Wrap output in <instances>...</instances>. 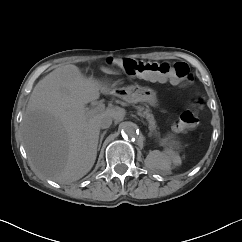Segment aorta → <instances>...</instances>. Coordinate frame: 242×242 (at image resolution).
Returning <instances> with one entry per match:
<instances>
[{"instance_id":"aorta-1","label":"aorta","mask_w":242,"mask_h":242,"mask_svg":"<svg viewBox=\"0 0 242 242\" xmlns=\"http://www.w3.org/2000/svg\"><path fill=\"white\" fill-rule=\"evenodd\" d=\"M122 133L128 138H136L139 134L138 127L133 122H126L122 128Z\"/></svg>"}]
</instances>
